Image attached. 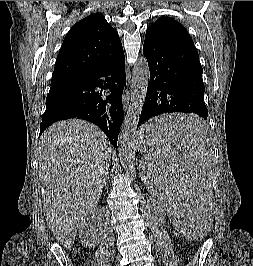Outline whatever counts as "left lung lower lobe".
<instances>
[{
  "label": "left lung lower lobe",
  "mask_w": 253,
  "mask_h": 266,
  "mask_svg": "<svg viewBox=\"0 0 253 266\" xmlns=\"http://www.w3.org/2000/svg\"><path fill=\"white\" fill-rule=\"evenodd\" d=\"M143 53L149 65L150 81L137 128H144L154 116L173 112L193 113L207 119L203 69L194 43L152 32L145 36ZM204 129L205 123L199 118L176 124L151 125L145 135L150 140L172 136L193 140Z\"/></svg>",
  "instance_id": "left-lung-lower-lobe-1"
}]
</instances>
